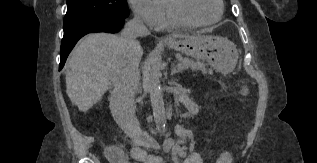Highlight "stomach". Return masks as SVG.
Segmentation results:
<instances>
[{
  "mask_svg": "<svg viewBox=\"0 0 317 163\" xmlns=\"http://www.w3.org/2000/svg\"><path fill=\"white\" fill-rule=\"evenodd\" d=\"M165 45L187 56L206 60L222 72L232 71L238 61L235 45L218 36H192L179 41L165 42Z\"/></svg>",
  "mask_w": 317,
  "mask_h": 163,
  "instance_id": "obj_1",
  "label": "stomach"
}]
</instances>
